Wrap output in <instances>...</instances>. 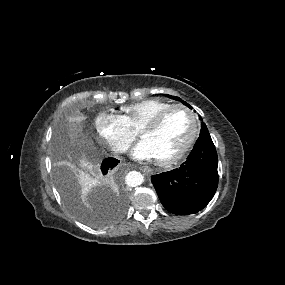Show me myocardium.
I'll return each mask as SVG.
<instances>
[{
    "label": "myocardium",
    "instance_id": "myocardium-1",
    "mask_svg": "<svg viewBox=\"0 0 285 285\" xmlns=\"http://www.w3.org/2000/svg\"><path fill=\"white\" fill-rule=\"evenodd\" d=\"M181 110L185 112L189 118L191 119L193 128L192 133L186 142V144L172 157L163 159V160H156V163L161 167H171L179 162H181L193 149L194 145L196 144L198 137L200 135V122L193 110L190 108L182 105V104H174L170 106L169 108L165 109L161 113H159L157 116L152 118L151 120L147 121L143 124L142 129H150L155 130L158 129L165 121L166 119L175 111Z\"/></svg>",
    "mask_w": 285,
    "mask_h": 285
}]
</instances>
